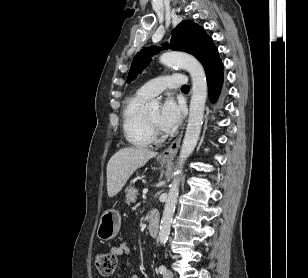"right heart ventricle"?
<instances>
[{"mask_svg": "<svg viewBox=\"0 0 308 278\" xmlns=\"http://www.w3.org/2000/svg\"><path fill=\"white\" fill-rule=\"evenodd\" d=\"M147 100L136 93L127 98L122 110L125 137L130 144L139 148H147L154 141L153 130L147 124L142 110Z\"/></svg>", "mask_w": 308, "mask_h": 278, "instance_id": "right-heart-ventricle-1", "label": "right heart ventricle"}]
</instances>
